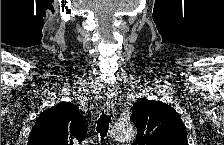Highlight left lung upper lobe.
Returning <instances> with one entry per match:
<instances>
[{
    "mask_svg": "<svg viewBox=\"0 0 224 145\" xmlns=\"http://www.w3.org/2000/svg\"><path fill=\"white\" fill-rule=\"evenodd\" d=\"M131 121L137 128V145H188L179 114L163 102L138 100L134 103Z\"/></svg>",
    "mask_w": 224,
    "mask_h": 145,
    "instance_id": "1",
    "label": "left lung upper lobe"
}]
</instances>
